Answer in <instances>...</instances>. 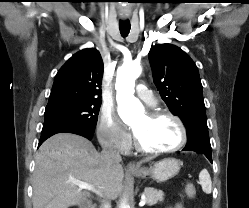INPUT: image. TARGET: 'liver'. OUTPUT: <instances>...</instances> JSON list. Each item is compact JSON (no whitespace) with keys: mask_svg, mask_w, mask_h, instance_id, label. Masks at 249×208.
Segmentation results:
<instances>
[{"mask_svg":"<svg viewBox=\"0 0 249 208\" xmlns=\"http://www.w3.org/2000/svg\"><path fill=\"white\" fill-rule=\"evenodd\" d=\"M123 177L122 165H109L86 138L55 134L35 156L33 208H69L86 201L90 192L73 184L75 180L92 185L99 195L115 199L123 189Z\"/></svg>","mask_w":249,"mask_h":208,"instance_id":"obj_1","label":"liver"}]
</instances>
